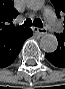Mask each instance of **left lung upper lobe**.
<instances>
[{
    "mask_svg": "<svg viewBox=\"0 0 65 89\" xmlns=\"http://www.w3.org/2000/svg\"><path fill=\"white\" fill-rule=\"evenodd\" d=\"M56 11L57 17H59L60 14H65V0H51ZM65 20V17H64ZM64 33H65V21H64Z\"/></svg>",
    "mask_w": 65,
    "mask_h": 89,
    "instance_id": "5c2ea615",
    "label": "left lung upper lobe"
}]
</instances>
